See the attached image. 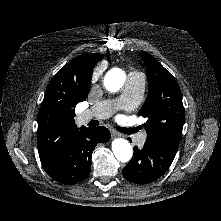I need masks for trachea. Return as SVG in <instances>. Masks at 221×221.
Masks as SVG:
<instances>
[{
    "instance_id": "3493384b",
    "label": "trachea",
    "mask_w": 221,
    "mask_h": 221,
    "mask_svg": "<svg viewBox=\"0 0 221 221\" xmlns=\"http://www.w3.org/2000/svg\"><path fill=\"white\" fill-rule=\"evenodd\" d=\"M117 130L124 134H132L138 131V127H135V128L117 127Z\"/></svg>"
}]
</instances>
